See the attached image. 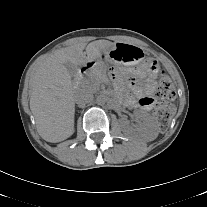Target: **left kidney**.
Segmentation results:
<instances>
[{
	"label": "left kidney",
	"mask_w": 207,
	"mask_h": 207,
	"mask_svg": "<svg viewBox=\"0 0 207 207\" xmlns=\"http://www.w3.org/2000/svg\"><path fill=\"white\" fill-rule=\"evenodd\" d=\"M135 117L140 119L142 123L139 125L138 133L145 141H153L158 136L157 126L153 118L145 112L136 111ZM123 132L127 135H133L135 131L129 126L127 121L122 122Z\"/></svg>",
	"instance_id": "obj_1"
}]
</instances>
